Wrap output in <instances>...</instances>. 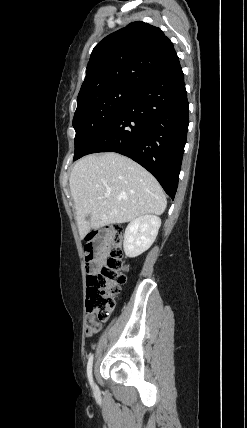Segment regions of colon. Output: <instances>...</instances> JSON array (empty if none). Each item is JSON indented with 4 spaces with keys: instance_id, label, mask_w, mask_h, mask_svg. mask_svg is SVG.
Masks as SVG:
<instances>
[{
    "instance_id": "colon-1",
    "label": "colon",
    "mask_w": 247,
    "mask_h": 428,
    "mask_svg": "<svg viewBox=\"0 0 247 428\" xmlns=\"http://www.w3.org/2000/svg\"><path fill=\"white\" fill-rule=\"evenodd\" d=\"M91 241V236H86ZM102 246V247H101ZM101 247V248H100ZM86 262L91 274L87 278V333L105 322L115 304V298L125 282L129 267L123 259L122 228L107 226L100 243L85 248ZM105 259L100 267V262Z\"/></svg>"
}]
</instances>
